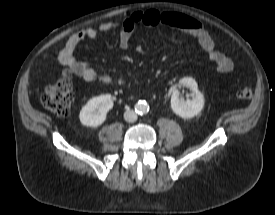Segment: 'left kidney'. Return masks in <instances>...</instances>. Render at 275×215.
Here are the masks:
<instances>
[{"mask_svg":"<svg viewBox=\"0 0 275 215\" xmlns=\"http://www.w3.org/2000/svg\"><path fill=\"white\" fill-rule=\"evenodd\" d=\"M179 84L190 88L194 93V97L192 100H184L179 97V91L173 89L171 94V108L173 112L181 118H192L199 114L203 109L204 96L198 90L197 82L192 77H184L180 79Z\"/></svg>","mask_w":275,"mask_h":215,"instance_id":"5707ae66","label":"left kidney"}]
</instances>
